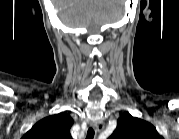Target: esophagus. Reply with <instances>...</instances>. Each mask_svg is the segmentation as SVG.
I'll list each match as a JSON object with an SVG mask.
<instances>
[{
    "label": "esophagus",
    "instance_id": "34e87169",
    "mask_svg": "<svg viewBox=\"0 0 179 139\" xmlns=\"http://www.w3.org/2000/svg\"><path fill=\"white\" fill-rule=\"evenodd\" d=\"M92 127L96 132H100L104 129V122L102 120L92 123Z\"/></svg>",
    "mask_w": 179,
    "mask_h": 139
}]
</instances>
